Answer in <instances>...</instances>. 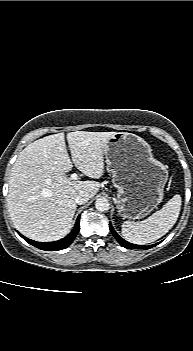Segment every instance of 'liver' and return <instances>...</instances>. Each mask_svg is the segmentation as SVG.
Masks as SVG:
<instances>
[{"instance_id": "liver-1", "label": "liver", "mask_w": 193, "mask_h": 351, "mask_svg": "<svg viewBox=\"0 0 193 351\" xmlns=\"http://www.w3.org/2000/svg\"><path fill=\"white\" fill-rule=\"evenodd\" d=\"M116 132L76 131L38 139L26 146L12 167L7 206L15 228L26 237L51 242L71 230L80 192L94 197L100 188L96 181L71 180L66 173L73 165L84 175L99 179L104 173L108 140Z\"/></svg>"}]
</instances>
